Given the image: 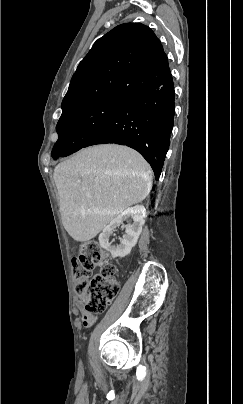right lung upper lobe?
I'll list each match as a JSON object with an SVG mask.
<instances>
[{
  "label": "right lung upper lobe",
  "instance_id": "right-lung-upper-lobe-1",
  "mask_svg": "<svg viewBox=\"0 0 243 404\" xmlns=\"http://www.w3.org/2000/svg\"><path fill=\"white\" fill-rule=\"evenodd\" d=\"M171 75L153 31L139 23L121 24L98 39L79 63L62 101V114L91 101L128 99L161 85Z\"/></svg>",
  "mask_w": 243,
  "mask_h": 404
}]
</instances>
